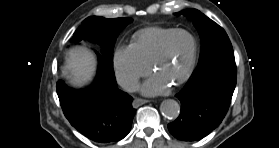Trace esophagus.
Masks as SVG:
<instances>
[{"label":"esophagus","instance_id":"obj_1","mask_svg":"<svg viewBox=\"0 0 279 148\" xmlns=\"http://www.w3.org/2000/svg\"><path fill=\"white\" fill-rule=\"evenodd\" d=\"M148 102H149V100H147V99L135 98L133 100L132 106L134 108H137V107L141 106L142 104H145V103H148Z\"/></svg>","mask_w":279,"mask_h":148}]
</instances>
